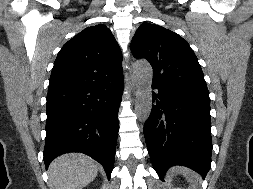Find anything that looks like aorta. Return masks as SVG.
<instances>
[{"instance_id": "1", "label": "aorta", "mask_w": 253, "mask_h": 189, "mask_svg": "<svg viewBox=\"0 0 253 189\" xmlns=\"http://www.w3.org/2000/svg\"><path fill=\"white\" fill-rule=\"evenodd\" d=\"M136 82L135 112L139 121L148 119L152 108V76L151 65L145 60H138L133 67Z\"/></svg>"}]
</instances>
